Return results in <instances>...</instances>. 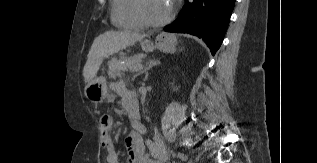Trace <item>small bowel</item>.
<instances>
[{"instance_id":"1","label":"small bowel","mask_w":317,"mask_h":163,"mask_svg":"<svg viewBox=\"0 0 317 163\" xmlns=\"http://www.w3.org/2000/svg\"><path fill=\"white\" fill-rule=\"evenodd\" d=\"M115 91L121 97L122 106L127 110L130 118L131 115L139 116V103L136 96L121 84L116 85ZM138 119L131 118L134 131L130 133L125 139L128 153V163H160V161H165L153 160L148 156V152L154 156H157L159 151L151 141L145 142L143 140L142 133L144 132V127L138 121ZM112 128V118L102 117L100 120L101 147L106 151V162L119 163L118 154L111 137ZM162 156L163 155L160 154V159Z\"/></svg>"}]
</instances>
